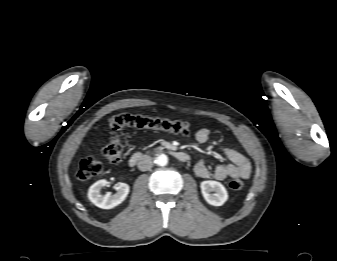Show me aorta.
I'll return each instance as SVG.
<instances>
[{"instance_id":"1","label":"aorta","mask_w":337,"mask_h":261,"mask_svg":"<svg viewBox=\"0 0 337 261\" xmlns=\"http://www.w3.org/2000/svg\"><path fill=\"white\" fill-rule=\"evenodd\" d=\"M155 163L161 167L166 166L168 163V157L165 154H159L155 158Z\"/></svg>"}]
</instances>
